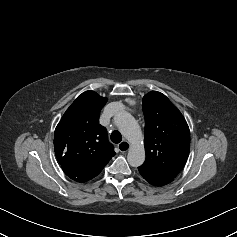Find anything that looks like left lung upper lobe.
Listing matches in <instances>:
<instances>
[{
  "label": "left lung upper lobe",
  "instance_id": "5c2ea615",
  "mask_svg": "<svg viewBox=\"0 0 237 237\" xmlns=\"http://www.w3.org/2000/svg\"><path fill=\"white\" fill-rule=\"evenodd\" d=\"M145 162L139 167L174 179L190 151V131L181 112L162 93L143 97Z\"/></svg>",
  "mask_w": 237,
  "mask_h": 237
}]
</instances>
